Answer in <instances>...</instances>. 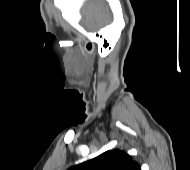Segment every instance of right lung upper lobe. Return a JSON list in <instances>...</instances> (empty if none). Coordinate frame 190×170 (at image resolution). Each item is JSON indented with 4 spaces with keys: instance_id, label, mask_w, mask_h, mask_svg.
<instances>
[{
    "instance_id": "obj_1",
    "label": "right lung upper lobe",
    "mask_w": 190,
    "mask_h": 170,
    "mask_svg": "<svg viewBox=\"0 0 190 170\" xmlns=\"http://www.w3.org/2000/svg\"><path fill=\"white\" fill-rule=\"evenodd\" d=\"M68 170H141L137 162L133 161L126 152L114 149Z\"/></svg>"
}]
</instances>
